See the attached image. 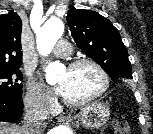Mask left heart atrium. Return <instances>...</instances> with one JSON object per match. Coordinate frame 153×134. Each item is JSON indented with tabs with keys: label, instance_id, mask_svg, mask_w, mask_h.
Here are the masks:
<instances>
[{
	"label": "left heart atrium",
	"instance_id": "left-heart-atrium-1",
	"mask_svg": "<svg viewBox=\"0 0 153 134\" xmlns=\"http://www.w3.org/2000/svg\"><path fill=\"white\" fill-rule=\"evenodd\" d=\"M57 92L63 94V87L61 85H58Z\"/></svg>",
	"mask_w": 153,
	"mask_h": 134
}]
</instances>
